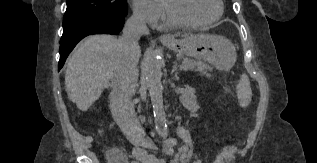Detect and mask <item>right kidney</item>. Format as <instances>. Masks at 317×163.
Segmentation results:
<instances>
[{
    "label": "right kidney",
    "mask_w": 317,
    "mask_h": 163,
    "mask_svg": "<svg viewBox=\"0 0 317 163\" xmlns=\"http://www.w3.org/2000/svg\"><path fill=\"white\" fill-rule=\"evenodd\" d=\"M102 131L99 130V133L101 134Z\"/></svg>",
    "instance_id": "right-kidney-1"
}]
</instances>
